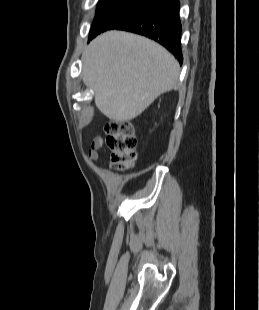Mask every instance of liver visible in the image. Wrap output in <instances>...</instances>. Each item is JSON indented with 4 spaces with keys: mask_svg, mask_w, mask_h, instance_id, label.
<instances>
[{
    "mask_svg": "<svg viewBox=\"0 0 259 310\" xmlns=\"http://www.w3.org/2000/svg\"><path fill=\"white\" fill-rule=\"evenodd\" d=\"M82 79L109 119L130 121L178 84L180 66L158 43L128 32L96 37L82 56Z\"/></svg>",
    "mask_w": 259,
    "mask_h": 310,
    "instance_id": "obj_1",
    "label": "liver"
}]
</instances>
